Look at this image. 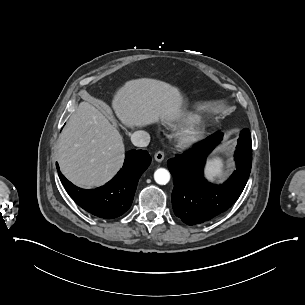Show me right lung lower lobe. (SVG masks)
<instances>
[{"label":"right lung lower lobe","instance_id":"right-lung-lower-lobe-1","mask_svg":"<svg viewBox=\"0 0 305 305\" xmlns=\"http://www.w3.org/2000/svg\"><path fill=\"white\" fill-rule=\"evenodd\" d=\"M123 169L104 186L84 190L73 185L59 173L60 180L70 197L87 212L112 219L124 214L131 206L137 183L151 163L145 150H131L125 154ZM59 170L58 163H56Z\"/></svg>","mask_w":305,"mask_h":305}]
</instances>
